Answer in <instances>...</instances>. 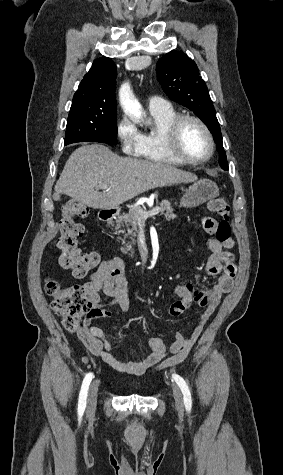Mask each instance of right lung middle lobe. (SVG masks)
<instances>
[{
  "instance_id": "dd1d6c3e",
  "label": "right lung middle lobe",
  "mask_w": 283,
  "mask_h": 475,
  "mask_svg": "<svg viewBox=\"0 0 283 475\" xmlns=\"http://www.w3.org/2000/svg\"><path fill=\"white\" fill-rule=\"evenodd\" d=\"M116 105L72 102L64 145L74 142L117 143Z\"/></svg>"
}]
</instances>
